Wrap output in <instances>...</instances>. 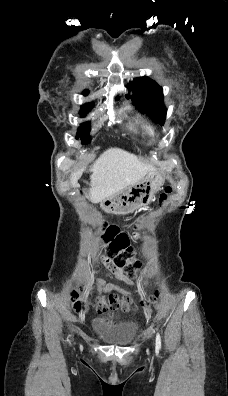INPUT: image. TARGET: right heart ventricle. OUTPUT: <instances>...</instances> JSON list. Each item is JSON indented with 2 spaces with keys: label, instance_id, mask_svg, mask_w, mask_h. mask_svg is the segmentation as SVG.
I'll list each match as a JSON object with an SVG mask.
<instances>
[{
  "label": "right heart ventricle",
  "instance_id": "1",
  "mask_svg": "<svg viewBox=\"0 0 228 396\" xmlns=\"http://www.w3.org/2000/svg\"><path fill=\"white\" fill-rule=\"evenodd\" d=\"M135 131L142 133L143 135L147 136L148 138L155 137V130L154 128L142 119H137L135 123L131 126Z\"/></svg>",
  "mask_w": 228,
  "mask_h": 396
}]
</instances>
